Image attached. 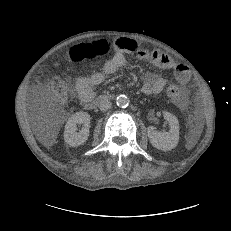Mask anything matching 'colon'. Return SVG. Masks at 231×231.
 <instances>
[{"label": "colon", "instance_id": "colon-1", "mask_svg": "<svg viewBox=\"0 0 231 231\" xmlns=\"http://www.w3.org/2000/svg\"><path fill=\"white\" fill-rule=\"evenodd\" d=\"M112 51V44L109 41L102 40L93 43L87 49L80 53L82 56L102 57ZM52 82V95L58 101H63L67 95V80H61L59 77L54 76ZM167 92L170 96L174 97L178 94L179 90L176 86L171 85L168 87Z\"/></svg>", "mask_w": 231, "mask_h": 231}]
</instances>
